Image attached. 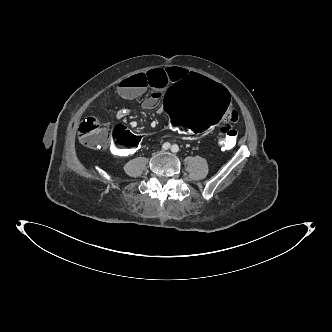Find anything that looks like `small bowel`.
I'll use <instances>...</instances> for the list:
<instances>
[{"label": "small bowel", "mask_w": 332, "mask_h": 332, "mask_svg": "<svg viewBox=\"0 0 332 332\" xmlns=\"http://www.w3.org/2000/svg\"><path fill=\"white\" fill-rule=\"evenodd\" d=\"M189 74L187 69L181 67L151 69L120 81L116 87V93L122 99L131 100L139 97L147 90H151L152 94L145 99L143 107L145 109H153L157 106L165 91ZM124 116L125 112L123 110L117 112L118 118L122 119ZM132 127L136 131L139 129L137 126ZM170 128L177 131L171 124Z\"/></svg>", "instance_id": "1"}]
</instances>
